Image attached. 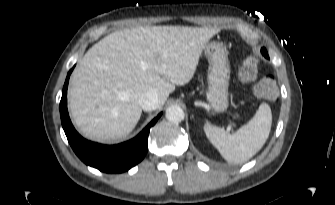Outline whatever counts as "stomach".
<instances>
[{
    "label": "stomach",
    "mask_w": 335,
    "mask_h": 205,
    "mask_svg": "<svg viewBox=\"0 0 335 205\" xmlns=\"http://www.w3.org/2000/svg\"><path fill=\"white\" fill-rule=\"evenodd\" d=\"M204 52L209 60L208 89L206 98L215 112H223L228 107V86L230 65L226 47L220 42H210Z\"/></svg>",
    "instance_id": "obj_1"
}]
</instances>
